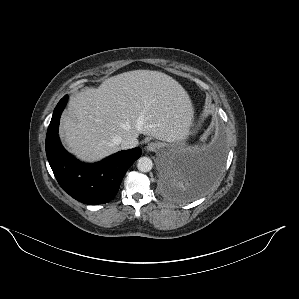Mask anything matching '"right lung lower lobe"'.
Listing matches in <instances>:
<instances>
[{
	"label": "right lung lower lobe",
	"instance_id": "98d812e1",
	"mask_svg": "<svg viewBox=\"0 0 299 299\" xmlns=\"http://www.w3.org/2000/svg\"><path fill=\"white\" fill-rule=\"evenodd\" d=\"M67 100L65 95L54 109L45 143L47 159L58 183L71 197L90 205L107 203L117 194L129 167L141 156V149L120 151L95 164L76 160L63 148L58 136Z\"/></svg>",
	"mask_w": 299,
	"mask_h": 299
}]
</instances>
